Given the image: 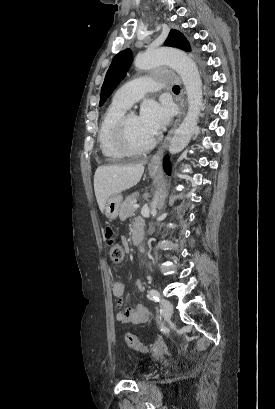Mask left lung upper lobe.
<instances>
[{"label": "left lung upper lobe", "mask_w": 275, "mask_h": 409, "mask_svg": "<svg viewBox=\"0 0 275 409\" xmlns=\"http://www.w3.org/2000/svg\"><path fill=\"white\" fill-rule=\"evenodd\" d=\"M166 46L176 47L184 51H190V45L185 36L178 30L172 29L165 41ZM132 52L130 49H125L119 52L112 60V63L107 71L104 83L101 88L99 106L103 105L113 90L124 78L132 63Z\"/></svg>", "instance_id": "obj_1"}]
</instances>
